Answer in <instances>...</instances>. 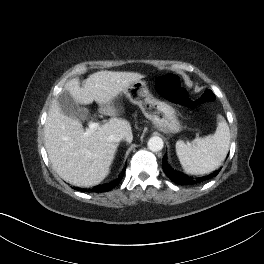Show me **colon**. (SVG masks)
<instances>
[{"label":"colon","instance_id":"5ec220e1","mask_svg":"<svg viewBox=\"0 0 264 264\" xmlns=\"http://www.w3.org/2000/svg\"><path fill=\"white\" fill-rule=\"evenodd\" d=\"M157 89L164 98L185 107L204 105L215 100V95L210 90H205L195 97L191 96L182 86L179 76L173 73L159 77Z\"/></svg>","mask_w":264,"mask_h":264}]
</instances>
